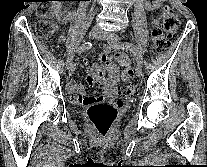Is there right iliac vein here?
Segmentation results:
<instances>
[{
  "mask_svg": "<svg viewBox=\"0 0 207 167\" xmlns=\"http://www.w3.org/2000/svg\"><path fill=\"white\" fill-rule=\"evenodd\" d=\"M101 35H102L101 31L97 27H94L89 32L88 37L89 39H96V38H100ZM68 70H69V75H72L73 72L75 71V64H71L68 67Z\"/></svg>",
  "mask_w": 207,
  "mask_h": 167,
  "instance_id": "1",
  "label": "right iliac vein"
}]
</instances>
